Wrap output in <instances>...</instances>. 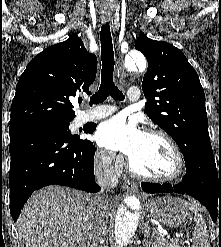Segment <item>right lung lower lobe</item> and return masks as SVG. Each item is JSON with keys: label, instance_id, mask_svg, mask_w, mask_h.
Listing matches in <instances>:
<instances>
[{"label": "right lung lower lobe", "instance_id": "right-lung-lower-lobe-1", "mask_svg": "<svg viewBox=\"0 0 221 247\" xmlns=\"http://www.w3.org/2000/svg\"><path fill=\"white\" fill-rule=\"evenodd\" d=\"M95 128H87L93 133ZM11 155L9 188L14 221L30 195L42 187L58 184L95 193V146L87 139H68L36 127L9 129Z\"/></svg>", "mask_w": 221, "mask_h": 247}]
</instances>
